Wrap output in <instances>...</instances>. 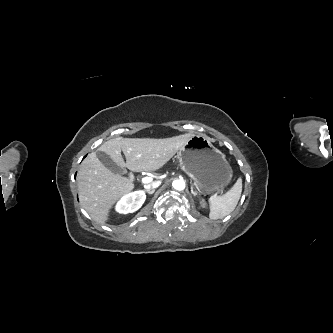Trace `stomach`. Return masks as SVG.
<instances>
[{
    "instance_id": "obj_1",
    "label": "stomach",
    "mask_w": 333,
    "mask_h": 333,
    "mask_svg": "<svg viewBox=\"0 0 333 333\" xmlns=\"http://www.w3.org/2000/svg\"><path fill=\"white\" fill-rule=\"evenodd\" d=\"M177 156L181 169L203 194L219 193L232 179L226 156L205 135H193Z\"/></svg>"
}]
</instances>
